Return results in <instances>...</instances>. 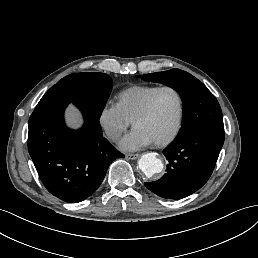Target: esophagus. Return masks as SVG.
I'll use <instances>...</instances> for the list:
<instances>
[{
	"label": "esophagus",
	"mask_w": 258,
	"mask_h": 258,
	"mask_svg": "<svg viewBox=\"0 0 258 258\" xmlns=\"http://www.w3.org/2000/svg\"><path fill=\"white\" fill-rule=\"evenodd\" d=\"M140 156H141V154H127V155H126V159H132V160H134V159L139 158Z\"/></svg>",
	"instance_id": "1"
}]
</instances>
